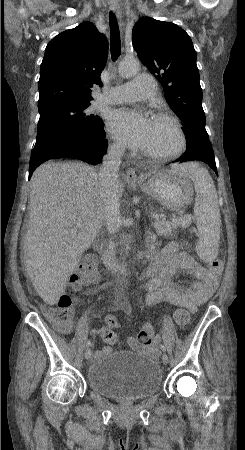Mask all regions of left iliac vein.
Wrapping results in <instances>:
<instances>
[{
  "instance_id": "obj_1",
  "label": "left iliac vein",
  "mask_w": 245,
  "mask_h": 450,
  "mask_svg": "<svg viewBox=\"0 0 245 450\" xmlns=\"http://www.w3.org/2000/svg\"><path fill=\"white\" fill-rule=\"evenodd\" d=\"M162 362L164 364H168V362H169V358L165 353L162 355Z\"/></svg>"
}]
</instances>
